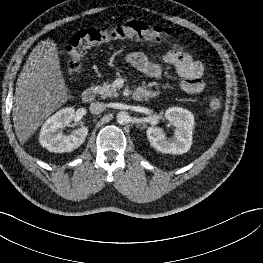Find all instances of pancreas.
Instances as JSON below:
<instances>
[{
  "label": "pancreas",
  "mask_w": 263,
  "mask_h": 263,
  "mask_svg": "<svg viewBox=\"0 0 263 263\" xmlns=\"http://www.w3.org/2000/svg\"><path fill=\"white\" fill-rule=\"evenodd\" d=\"M94 92L101 95L102 98L107 97H117V89L116 87L111 83H103L102 85L94 86Z\"/></svg>",
  "instance_id": "cf45deb5"
}]
</instances>
